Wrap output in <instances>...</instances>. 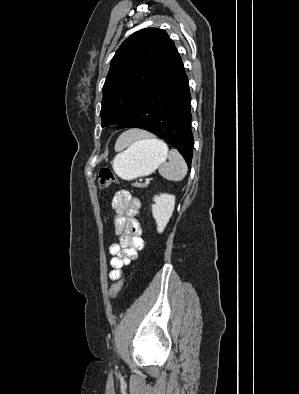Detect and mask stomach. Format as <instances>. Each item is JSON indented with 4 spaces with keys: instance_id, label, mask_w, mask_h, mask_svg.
<instances>
[{
    "instance_id": "1",
    "label": "stomach",
    "mask_w": 299,
    "mask_h": 394,
    "mask_svg": "<svg viewBox=\"0 0 299 394\" xmlns=\"http://www.w3.org/2000/svg\"><path fill=\"white\" fill-rule=\"evenodd\" d=\"M167 155L165 147L139 140L115 157L113 169L120 178L132 180L153 173Z\"/></svg>"
}]
</instances>
